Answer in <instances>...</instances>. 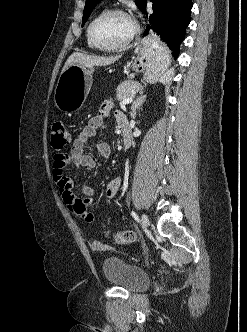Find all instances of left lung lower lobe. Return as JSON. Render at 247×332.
<instances>
[{"label": "left lung lower lobe", "instance_id": "obj_1", "mask_svg": "<svg viewBox=\"0 0 247 332\" xmlns=\"http://www.w3.org/2000/svg\"><path fill=\"white\" fill-rule=\"evenodd\" d=\"M153 14L149 16L146 33L152 29L164 41L173 54L179 55V45L184 40L186 27L190 23L192 0H150ZM146 5L142 11L145 12ZM148 16V14L146 13Z\"/></svg>", "mask_w": 247, "mask_h": 332}]
</instances>
